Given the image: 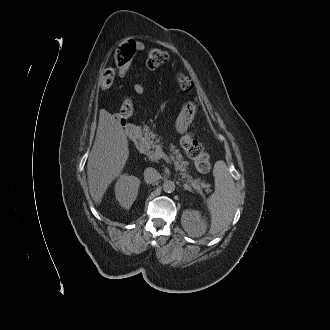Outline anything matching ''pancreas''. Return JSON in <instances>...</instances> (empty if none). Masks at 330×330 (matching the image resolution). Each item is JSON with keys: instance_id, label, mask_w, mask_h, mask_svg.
Masks as SVG:
<instances>
[{"instance_id": "cf45deb5", "label": "pancreas", "mask_w": 330, "mask_h": 330, "mask_svg": "<svg viewBox=\"0 0 330 330\" xmlns=\"http://www.w3.org/2000/svg\"><path fill=\"white\" fill-rule=\"evenodd\" d=\"M160 143V138H157L156 134H154L151 131H146L145 136L143 140L141 141V151L151 161H157L155 155V149L157 148V144ZM172 152V159L175 162L176 169L180 171V174L182 175L183 179H186V182L189 183L196 191L201 192L202 189H205L206 192H210L211 185L209 183H206L204 180L201 179H193L192 176H190L187 173L186 167L188 165L187 161L183 160V156L179 153L177 149L174 147L171 148Z\"/></svg>"}]
</instances>
